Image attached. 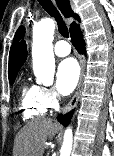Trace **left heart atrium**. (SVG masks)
<instances>
[{"instance_id": "obj_1", "label": "left heart atrium", "mask_w": 114, "mask_h": 156, "mask_svg": "<svg viewBox=\"0 0 114 156\" xmlns=\"http://www.w3.org/2000/svg\"><path fill=\"white\" fill-rule=\"evenodd\" d=\"M80 68L74 58H67L60 62L56 73L57 90L63 94H70L77 85Z\"/></svg>"}]
</instances>
